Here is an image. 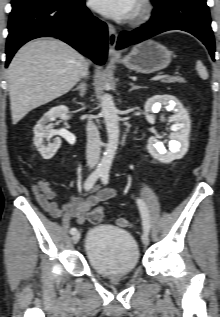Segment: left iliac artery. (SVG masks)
<instances>
[{
    "label": "left iliac artery",
    "mask_w": 220,
    "mask_h": 317,
    "mask_svg": "<svg viewBox=\"0 0 220 317\" xmlns=\"http://www.w3.org/2000/svg\"><path fill=\"white\" fill-rule=\"evenodd\" d=\"M101 180H102L103 184H105V185L108 184V181H109V171L108 170L102 171ZM137 204H138V207H139V210L141 213V217H142L143 230L146 234H148L149 230H150V219H149L147 207L142 199H137Z\"/></svg>",
    "instance_id": "44dca946"
}]
</instances>
